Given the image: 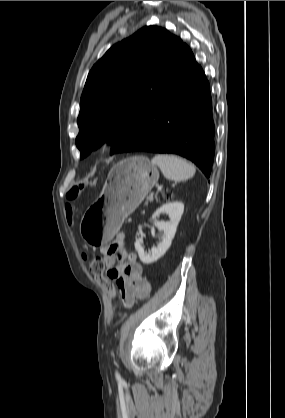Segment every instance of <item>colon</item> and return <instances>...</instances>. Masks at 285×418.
<instances>
[{"instance_id":"colon-1","label":"colon","mask_w":285,"mask_h":418,"mask_svg":"<svg viewBox=\"0 0 285 418\" xmlns=\"http://www.w3.org/2000/svg\"><path fill=\"white\" fill-rule=\"evenodd\" d=\"M160 201H166L170 199V193L168 191H161L157 195ZM67 220L69 224L73 222V215L70 205L67 206ZM120 245L118 244V248ZM85 262L89 263L90 269L94 272L99 283L107 291L108 295L113 298L115 296V287L113 279L105 275V263L101 256H95L92 259H89L87 256H83Z\"/></svg>"}]
</instances>
